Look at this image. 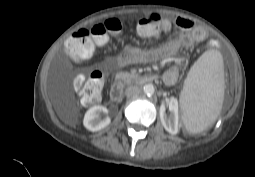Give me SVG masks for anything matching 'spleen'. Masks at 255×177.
Returning a JSON list of instances; mask_svg holds the SVG:
<instances>
[{
	"instance_id": "1",
	"label": "spleen",
	"mask_w": 255,
	"mask_h": 177,
	"mask_svg": "<svg viewBox=\"0 0 255 177\" xmlns=\"http://www.w3.org/2000/svg\"><path fill=\"white\" fill-rule=\"evenodd\" d=\"M224 95V64L220 52L208 50L191 67L180 94L186 129L199 133L220 114Z\"/></svg>"
}]
</instances>
